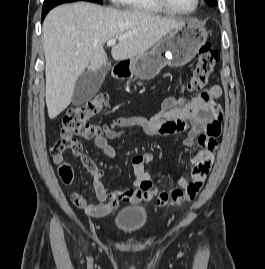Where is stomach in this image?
<instances>
[{
	"mask_svg": "<svg viewBox=\"0 0 265 269\" xmlns=\"http://www.w3.org/2000/svg\"><path fill=\"white\" fill-rule=\"evenodd\" d=\"M206 29L187 21L158 41L151 51L123 60L124 74L149 80L165 66L181 67L189 63L206 42Z\"/></svg>",
	"mask_w": 265,
	"mask_h": 269,
	"instance_id": "obj_1",
	"label": "stomach"
}]
</instances>
